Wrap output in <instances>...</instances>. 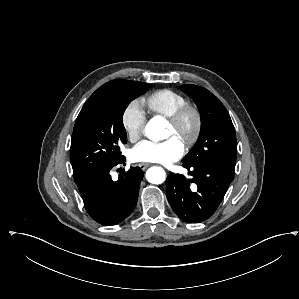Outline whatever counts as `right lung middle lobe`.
Returning a JSON list of instances; mask_svg holds the SVG:
<instances>
[{"label": "right lung middle lobe", "mask_w": 299, "mask_h": 299, "mask_svg": "<svg viewBox=\"0 0 299 299\" xmlns=\"http://www.w3.org/2000/svg\"><path fill=\"white\" fill-rule=\"evenodd\" d=\"M149 86L139 82L114 87L85 103L71 139L70 160L76 183L123 157L120 145L127 142L122 121L124 111Z\"/></svg>", "instance_id": "right-lung-middle-lobe-1"}]
</instances>
